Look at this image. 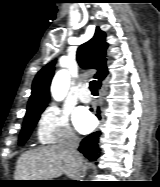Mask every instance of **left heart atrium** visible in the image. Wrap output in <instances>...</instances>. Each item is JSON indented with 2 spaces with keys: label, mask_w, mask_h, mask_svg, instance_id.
<instances>
[{
  "label": "left heart atrium",
  "mask_w": 160,
  "mask_h": 187,
  "mask_svg": "<svg viewBox=\"0 0 160 187\" xmlns=\"http://www.w3.org/2000/svg\"><path fill=\"white\" fill-rule=\"evenodd\" d=\"M74 124L83 134L90 132L95 126L93 116L85 109H79L74 114Z\"/></svg>",
  "instance_id": "1"
}]
</instances>
